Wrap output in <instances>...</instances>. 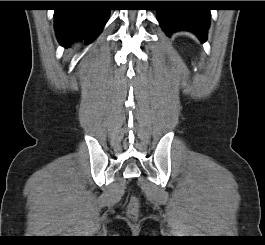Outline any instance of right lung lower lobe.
<instances>
[{"label": "right lung lower lobe", "instance_id": "obj_1", "mask_svg": "<svg viewBox=\"0 0 265 245\" xmlns=\"http://www.w3.org/2000/svg\"><path fill=\"white\" fill-rule=\"evenodd\" d=\"M110 10L104 1H78L76 7L55 10V30L59 43L67 47L74 39L91 43L105 26Z\"/></svg>", "mask_w": 265, "mask_h": 245}]
</instances>
